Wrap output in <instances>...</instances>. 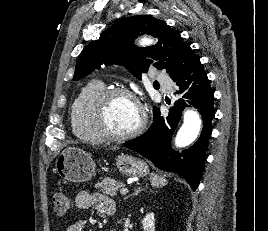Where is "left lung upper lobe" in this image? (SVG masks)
Listing matches in <instances>:
<instances>
[{
	"label": "left lung upper lobe",
	"mask_w": 268,
	"mask_h": 231,
	"mask_svg": "<svg viewBox=\"0 0 268 231\" xmlns=\"http://www.w3.org/2000/svg\"><path fill=\"white\" fill-rule=\"evenodd\" d=\"M158 37L155 46L138 48L134 39L141 34ZM197 58L180 33L164 21L149 15L124 18L106 29L100 38L89 43L80 53L73 80L90 74L102 64H122L138 79L150 66L165 69L171 78L185 71ZM159 112L153 109L154 116Z\"/></svg>",
	"instance_id": "5c2ea615"
}]
</instances>
